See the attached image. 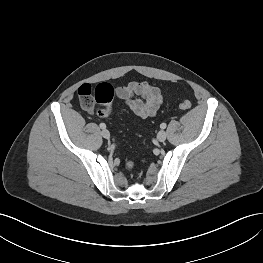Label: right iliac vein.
Here are the masks:
<instances>
[{
    "instance_id": "1",
    "label": "right iliac vein",
    "mask_w": 263,
    "mask_h": 263,
    "mask_svg": "<svg viewBox=\"0 0 263 263\" xmlns=\"http://www.w3.org/2000/svg\"><path fill=\"white\" fill-rule=\"evenodd\" d=\"M101 135L105 138V139H109L110 138V132L107 129H103L101 132Z\"/></svg>"
}]
</instances>
